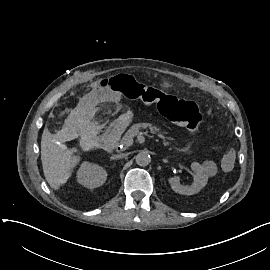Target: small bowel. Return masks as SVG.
Masks as SVG:
<instances>
[{
	"mask_svg": "<svg viewBox=\"0 0 270 270\" xmlns=\"http://www.w3.org/2000/svg\"><path fill=\"white\" fill-rule=\"evenodd\" d=\"M98 92L107 100L109 101H118L120 99V97L115 94V93H112L111 91L107 90V89H102V88H98L97 89Z\"/></svg>",
	"mask_w": 270,
	"mask_h": 270,
	"instance_id": "obj_1",
	"label": "small bowel"
}]
</instances>
